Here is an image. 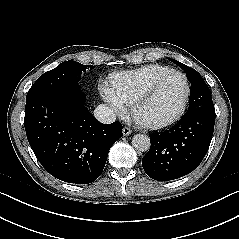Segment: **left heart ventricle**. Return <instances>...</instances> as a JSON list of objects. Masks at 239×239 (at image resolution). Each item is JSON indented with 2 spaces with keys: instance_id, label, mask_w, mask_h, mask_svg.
<instances>
[{
  "instance_id": "obj_1",
  "label": "left heart ventricle",
  "mask_w": 239,
  "mask_h": 239,
  "mask_svg": "<svg viewBox=\"0 0 239 239\" xmlns=\"http://www.w3.org/2000/svg\"><path fill=\"white\" fill-rule=\"evenodd\" d=\"M185 93L184 80L171 76L164 80L150 95L139 111V117L146 121H160L172 116L178 109Z\"/></svg>"
}]
</instances>
